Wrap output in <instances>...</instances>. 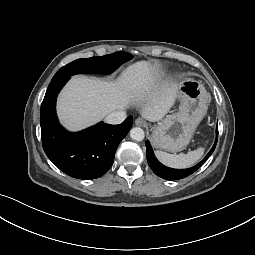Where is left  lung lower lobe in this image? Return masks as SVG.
<instances>
[{
	"mask_svg": "<svg viewBox=\"0 0 255 255\" xmlns=\"http://www.w3.org/2000/svg\"><path fill=\"white\" fill-rule=\"evenodd\" d=\"M217 138H218V127L216 129V140L215 143L212 147V149L209 151V153L206 155V157L199 162L197 165L187 168V169H172L168 168L164 165H162L154 156V153L152 151L150 142L147 140L146 141V156H147V161L152 169V171L158 175L159 177L166 179V180H178L185 178L191 174H193L195 171L199 169V167L208 159V157L213 153L216 144H217Z\"/></svg>",
	"mask_w": 255,
	"mask_h": 255,
	"instance_id": "obj_1",
	"label": "left lung lower lobe"
}]
</instances>
